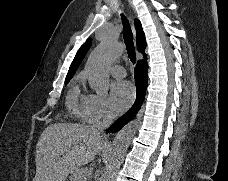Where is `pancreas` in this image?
Masks as SVG:
<instances>
[{
  "mask_svg": "<svg viewBox=\"0 0 228 181\" xmlns=\"http://www.w3.org/2000/svg\"><path fill=\"white\" fill-rule=\"evenodd\" d=\"M81 173V169H79V167H76V169H73V171H71L69 181H86V177H88V175H81ZM80 177H85V179H80Z\"/></svg>",
  "mask_w": 228,
  "mask_h": 181,
  "instance_id": "obj_1",
  "label": "pancreas"
}]
</instances>
